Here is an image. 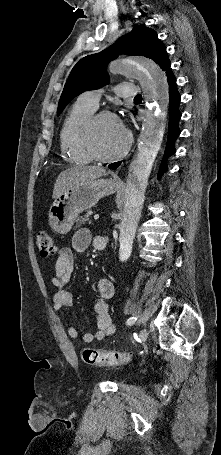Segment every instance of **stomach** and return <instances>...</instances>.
<instances>
[{
    "instance_id": "obj_1",
    "label": "stomach",
    "mask_w": 221,
    "mask_h": 455,
    "mask_svg": "<svg viewBox=\"0 0 221 455\" xmlns=\"http://www.w3.org/2000/svg\"><path fill=\"white\" fill-rule=\"evenodd\" d=\"M113 179L97 178L68 188L54 200L49 209V225L59 234H67L77 216L93 207L101 198L116 190Z\"/></svg>"
}]
</instances>
